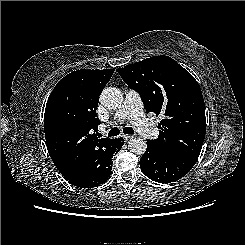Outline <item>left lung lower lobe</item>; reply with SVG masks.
Listing matches in <instances>:
<instances>
[{
	"mask_svg": "<svg viewBox=\"0 0 245 245\" xmlns=\"http://www.w3.org/2000/svg\"><path fill=\"white\" fill-rule=\"evenodd\" d=\"M198 158L162 153L147 141L146 152L140 159L142 172L151 180L171 183L185 176Z\"/></svg>",
	"mask_w": 245,
	"mask_h": 245,
	"instance_id": "left-lung-lower-lobe-1",
	"label": "left lung lower lobe"
}]
</instances>
